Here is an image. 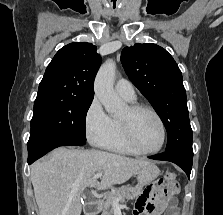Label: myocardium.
Here are the masks:
<instances>
[{"label": "myocardium", "instance_id": "obj_1", "mask_svg": "<svg viewBox=\"0 0 223 215\" xmlns=\"http://www.w3.org/2000/svg\"><path fill=\"white\" fill-rule=\"evenodd\" d=\"M143 111L150 113L155 118L160 129V142L155 149L150 151L139 150L132 138L131 120L136 114ZM120 125L122 129L123 139L126 145L134 154L141 156L152 155L158 153L162 149L166 138L165 126L159 114L152 107L145 104H133L128 106L127 116L124 118H120Z\"/></svg>", "mask_w": 223, "mask_h": 215}]
</instances>
